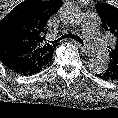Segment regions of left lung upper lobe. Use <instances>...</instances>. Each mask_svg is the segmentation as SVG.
<instances>
[{"mask_svg": "<svg viewBox=\"0 0 118 118\" xmlns=\"http://www.w3.org/2000/svg\"><path fill=\"white\" fill-rule=\"evenodd\" d=\"M97 12L102 26L113 40L109 47L110 62L105 73L101 74L107 80H118V9L107 3H97Z\"/></svg>", "mask_w": 118, "mask_h": 118, "instance_id": "left-lung-upper-lobe-1", "label": "left lung upper lobe"}]
</instances>
